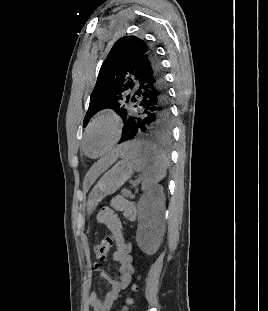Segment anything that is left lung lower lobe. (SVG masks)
<instances>
[{
	"instance_id": "obj_1",
	"label": "left lung lower lobe",
	"mask_w": 268,
	"mask_h": 311,
	"mask_svg": "<svg viewBox=\"0 0 268 311\" xmlns=\"http://www.w3.org/2000/svg\"><path fill=\"white\" fill-rule=\"evenodd\" d=\"M171 111L161 62L154 51L141 61L131 111L124 122L122 140L168 141Z\"/></svg>"
}]
</instances>
